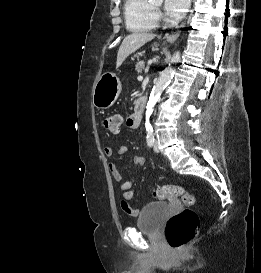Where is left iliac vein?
<instances>
[{"mask_svg":"<svg viewBox=\"0 0 261 273\" xmlns=\"http://www.w3.org/2000/svg\"><path fill=\"white\" fill-rule=\"evenodd\" d=\"M153 148H154L155 152H157V153L159 152V146H158V143L156 141L154 142Z\"/></svg>","mask_w":261,"mask_h":273,"instance_id":"4c4485c4","label":"left iliac vein"}]
</instances>
